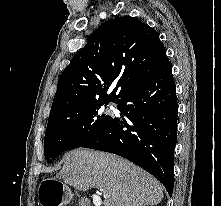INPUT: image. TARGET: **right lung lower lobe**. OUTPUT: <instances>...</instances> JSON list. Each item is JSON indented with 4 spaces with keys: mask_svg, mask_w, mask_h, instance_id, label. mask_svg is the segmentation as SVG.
Segmentation results:
<instances>
[{
    "mask_svg": "<svg viewBox=\"0 0 221 206\" xmlns=\"http://www.w3.org/2000/svg\"><path fill=\"white\" fill-rule=\"evenodd\" d=\"M169 62L130 91L112 121L82 147L120 155L155 176L172 195L178 102Z\"/></svg>",
    "mask_w": 221,
    "mask_h": 206,
    "instance_id": "right-lung-lower-lobe-1",
    "label": "right lung lower lobe"
}]
</instances>
